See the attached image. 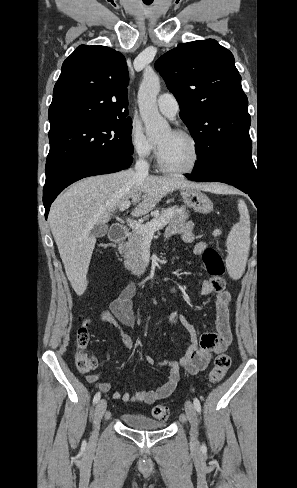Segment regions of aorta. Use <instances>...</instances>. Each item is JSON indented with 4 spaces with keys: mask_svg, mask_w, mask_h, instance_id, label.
I'll list each match as a JSON object with an SVG mask.
<instances>
[{
    "mask_svg": "<svg viewBox=\"0 0 297 488\" xmlns=\"http://www.w3.org/2000/svg\"><path fill=\"white\" fill-rule=\"evenodd\" d=\"M160 91V79L153 71L143 74L139 91L138 104L140 115L148 136H158L169 127L168 122L159 114L156 98Z\"/></svg>",
    "mask_w": 297,
    "mask_h": 488,
    "instance_id": "obj_1",
    "label": "aorta"
}]
</instances>
